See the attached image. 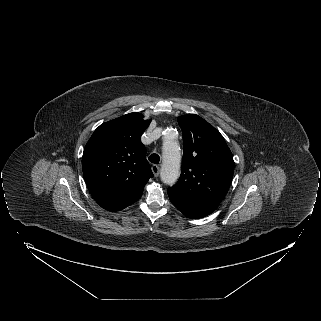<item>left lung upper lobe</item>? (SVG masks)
Wrapping results in <instances>:
<instances>
[{
  "label": "left lung upper lobe",
  "mask_w": 321,
  "mask_h": 321,
  "mask_svg": "<svg viewBox=\"0 0 321 321\" xmlns=\"http://www.w3.org/2000/svg\"><path fill=\"white\" fill-rule=\"evenodd\" d=\"M183 132V160L179 181L168 188L186 198L219 204L234 172L230 149L220 132L195 114L178 117Z\"/></svg>",
  "instance_id": "obj_1"
}]
</instances>
